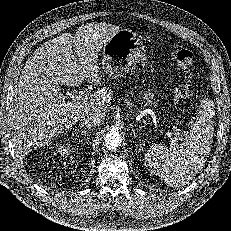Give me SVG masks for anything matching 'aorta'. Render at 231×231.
I'll use <instances>...</instances> for the list:
<instances>
[{
    "label": "aorta",
    "instance_id": "obj_1",
    "mask_svg": "<svg viewBox=\"0 0 231 231\" xmlns=\"http://www.w3.org/2000/svg\"><path fill=\"white\" fill-rule=\"evenodd\" d=\"M122 136L116 131L108 132L103 139V145L107 150H116L122 144Z\"/></svg>",
    "mask_w": 231,
    "mask_h": 231
}]
</instances>
